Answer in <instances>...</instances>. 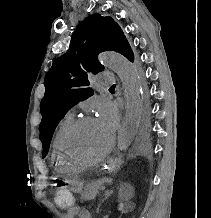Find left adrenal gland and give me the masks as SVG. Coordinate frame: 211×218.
<instances>
[{
  "instance_id": "obj_1",
  "label": "left adrenal gland",
  "mask_w": 211,
  "mask_h": 218,
  "mask_svg": "<svg viewBox=\"0 0 211 218\" xmlns=\"http://www.w3.org/2000/svg\"><path fill=\"white\" fill-rule=\"evenodd\" d=\"M111 194H113V190H106V192H104V200H107V198H109V196H111ZM104 200H102V202H104ZM102 202H100V204H98L97 212H99V208H100Z\"/></svg>"
}]
</instances>
